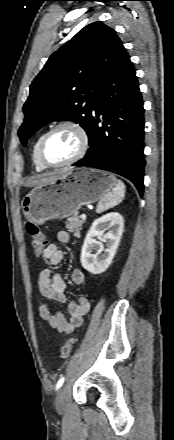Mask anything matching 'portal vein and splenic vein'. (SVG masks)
<instances>
[{"label": "portal vein and splenic vein", "instance_id": "obj_1", "mask_svg": "<svg viewBox=\"0 0 174 440\" xmlns=\"http://www.w3.org/2000/svg\"><path fill=\"white\" fill-rule=\"evenodd\" d=\"M80 218H81V220L85 221L86 218H87V217H86V214H81V215H80Z\"/></svg>", "mask_w": 174, "mask_h": 440}]
</instances>
